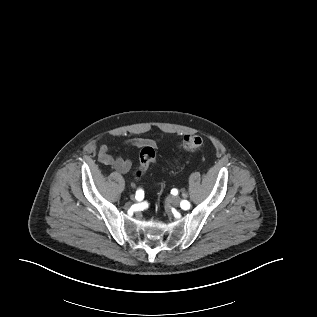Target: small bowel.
Here are the masks:
<instances>
[{"mask_svg": "<svg viewBox=\"0 0 317 317\" xmlns=\"http://www.w3.org/2000/svg\"><path fill=\"white\" fill-rule=\"evenodd\" d=\"M151 143L152 142L150 140L138 137L129 138L122 142V144L126 147L137 148ZM98 159L103 165L113 167L116 171L122 174H127L132 170V161L129 158L114 156L106 145L100 146Z\"/></svg>", "mask_w": 317, "mask_h": 317, "instance_id": "small-bowel-1", "label": "small bowel"}]
</instances>
